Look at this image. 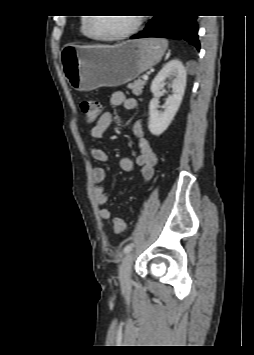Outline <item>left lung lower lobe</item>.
<instances>
[{"instance_id": "1", "label": "left lung lower lobe", "mask_w": 254, "mask_h": 355, "mask_svg": "<svg viewBox=\"0 0 254 355\" xmlns=\"http://www.w3.org/2000/svg\"><path fill=\"white\" fill-rule=\"evenodd\" d=\"M196 20L197 15H155L146 25L144 31L131 36V39L148 37L182 38L200 50Z\"/></svg>"}]
</instances>
